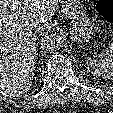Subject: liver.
Returning a JSON list of instances; mask_svg holds the SVG:
<instances>
[{
    "label": "liver",
    "instance_id": "liver-1",
    "mask_svg": "<svg viewBox=\"0 0 113 113\" xmlns=\"http://www.w3.org/2000/svg\"><path fill=\"white\" fill-rule=\"evenodd\" d=\"M60 0H0V88L12 96L29 91L38 33L50 27Z\"/></svg>",
    "mask_w": 113,
    "mask_h": 113
}]
</instances>
